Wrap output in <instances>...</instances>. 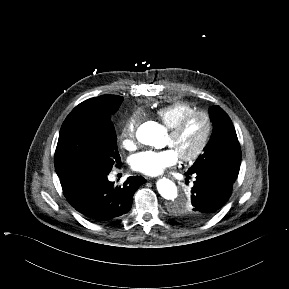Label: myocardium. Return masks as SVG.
Returning a JSON list of instances; mask_svg holds the SVG:
<instances>
[{
    "mask_svg": "<svg viewBox=\"0 0 289 289\" xmlns=\"http://www.w3.org/2000/svg\"><path fill=\"white\" fill-rule=\"evenodd\" d=\"M197 116L202 117L205 121V127H206L205 133H204V136H203L199 146L192 153H190L188 155L179 156L180 159L182 161H185V162H192V161L197 160L206 150V148L209 144L211 135H212V131H213V122H212L211 116L205 111L194 110L192 112L185 114L183 117H181L177 121V123L173 127H171L169 130L170 131L169 134L172 137H177L182 132V130L184 129L186 124L192 118L197 117Z\"/></svg>",
    "mask_w": 289,
    "mask_h": 289,
    "instance_id": "f54148a6",
    "label": "myocardium"
}]
</instances>
